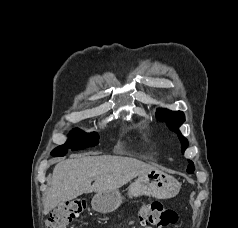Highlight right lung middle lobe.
I'll list each match as a JSON object with an SVG mask.
<instances>
[{
	"instance_id": "obj_1",
	"label": "right lung middle lobe",
	"mask_w": 238,
	"mask_h": 228,
	"mask_svg": "<svg viewBox=\"0 0 238 228\" xmlns=\"http://www.w3.org/2000/svg\"><path fill=\"white\" fill-rule=\"evenodd\" d=\"M67 142L52 151L53 156H64L68 150L76 151L93 147L98 144L99 135L96 132L83 133L80 129H73L69 133Z\"/></svg>"
}]
</instances>
